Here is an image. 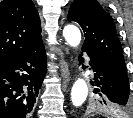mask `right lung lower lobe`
Instances as JSON below:
<instances>
[{"instance_id": "right-lung-lower-lobe-1", "label": "right lung lower lobe", "mask_w": 133, "mask_h": 118, "mask_svg": "<svg viewBox=\"0 0 133 118\" xmlns=\"http://www.w3.org/2000/svg\"><path fill=\"white\" fill-rule=\"evenodd\" d=\"M46 73L43 43L0 65V118H28Z\"/></svg>"}]
</instances>
